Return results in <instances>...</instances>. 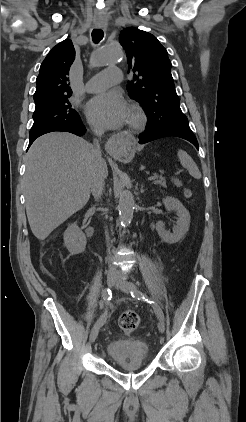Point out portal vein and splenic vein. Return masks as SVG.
Wrapping results in <instances>:
<instances>
[{"label":"portal vein and splenic vein","instance_id":"18ae733b","mask_svg":"<svg viewBox=\"0 0 246 422\" xmlns=\"http://www.w3.org/2000/svg\"><path fill=\"white\" fill-rule=\"evenodd\" d=\"M155 179V176H150V177H148V180H154Z\"/></svg>","mask_w":246,"mask_h":422}]
</instances>
